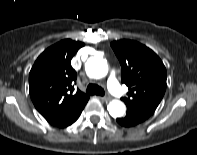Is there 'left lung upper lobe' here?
Returning <instances> with one entry per match:
<instances>
[{
  "label": "left lung upper lobe",
  "instance_id": "left-lung-upper-lobe-1",
  "mask_svg": "<svg viewBox=\"0 0 197 155\" xmlns=\"http://www.w3.org/2000/svg\"><path fill=\"white\" fill-rule=\"evenodd\" d=\"M111 47L121 64L122 83L129 88L128 97L122 98L127 112L145 121L164 96L166 68L156 53L136 41H114Z\"/></svg>",
  "mask_w": 197,
  "mask_h": 155
}]
</instances>
